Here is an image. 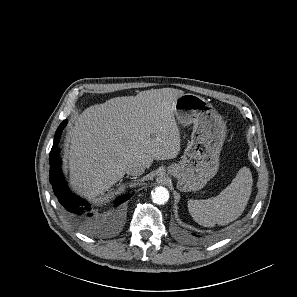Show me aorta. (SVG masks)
<instances>
[{
  "mask_svg": "<svg viewBox=\"0 0 297 297\" xmlns=\"http://www.w3.org/2000/svg\"><path fill=\"white\" fill-rule=\"evenodd\" d=\"M169 200V192L163 186H158L154 189L152 193V201L155 204L163 205Z\"/></svg>",
  "mask_w": 297,
  "mask_h": 297,
  "instance_id": "obj_1",
  "label": "aorta"
}]
</instances>
